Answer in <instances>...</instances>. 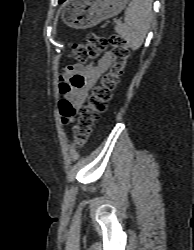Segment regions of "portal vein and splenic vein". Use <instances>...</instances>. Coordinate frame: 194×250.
<instances>
[{"instance_id": "obj_1", "label": "portal vein and splenic vein", "mask_w": 194, "mask_h": 250, "mask_svg": "<svg viewBox=\"0 0 194 250\" xmlns=\"http://www.w3.org/2000/svg\"><path fill=\"white\" fill-rule=\"evenodd\" d=\"M115 23H116V24H120L121 21H120V20H116Z\"/></svg>"}]
</instances>
